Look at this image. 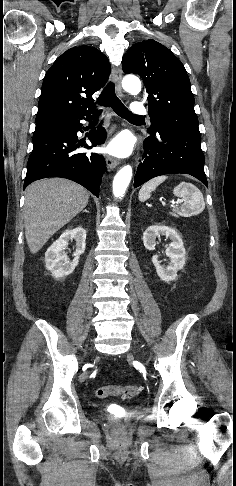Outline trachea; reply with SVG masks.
<instances>
[{
	"label": "trachea",
	"mask_w": 236,
	"mask_h": 486,
	"mask_svg": "<svg viewBox=\"0 0 236 486\" xmlns=\"http://www.w3.org/2000/svg\"><path fill=\"white\" fill-rule=\"evenodd\" d=\"M98 102L102 106H111L112 109L122 118L127 120H140L143 119L142 116H137L132 114L124 104L119 100L115 94V87L112 82L103 89L101 95L98 98Z\"/></svg>",
	"instance_id": "obj_1"
}]
</instances>
